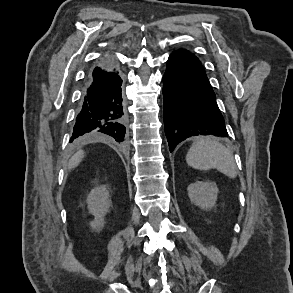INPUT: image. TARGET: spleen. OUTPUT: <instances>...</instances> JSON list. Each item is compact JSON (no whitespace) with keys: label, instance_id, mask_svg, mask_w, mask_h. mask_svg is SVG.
<instances>
[{"label":"spleen","instance_id":"spleen-1","mask_svg":"<svg viewBox=\"0 0 293 293\" xmlns=\"http://www.w3.org/2000/svg\"><path fill=\"white\" fill-rule=\"evenodd\" d=\"M186 162L198 170L215 168L229 178L237 176L232 152L215 139L203 137L193 142L186 155Z\"/></svg>","mask_w":293,"mask_h":293}]
</instances>
